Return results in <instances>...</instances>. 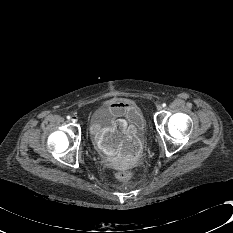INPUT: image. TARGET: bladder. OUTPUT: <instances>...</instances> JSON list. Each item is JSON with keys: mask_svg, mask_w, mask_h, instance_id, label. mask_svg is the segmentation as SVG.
Instances as JSON below:
<instances>
[{"mask_svg": "<svg viewBox=\"0 0 233 233\" xmlns=\"http://www.w3.org/2000/svg\"><path fill=\"white\" fill-rule=\"evenodd\" d=\"M124 117L130 122L131 124H136L138 127L144 131L145 130V123L142 119L136 114V112L130 113L125 111ZM117 119V116L115 113L111 110V108L107 105H103L99 107L93 114L91 121L92 123L104 128L109 129L111 128L115 121Z\"/></svg>", "mask_w": 233, "mask_h": 233, "instance_id": "1", "label": "bladder"}]
</instances>
